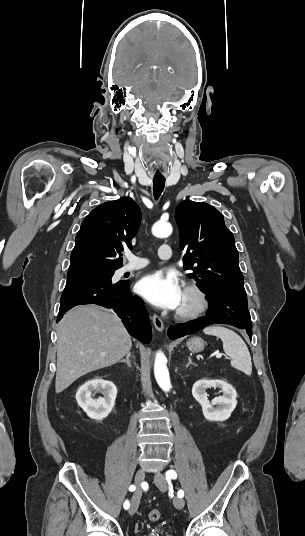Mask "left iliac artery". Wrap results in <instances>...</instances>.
Returning <instances> with one entry per match:
<instances>
[{
    "mask_svg": "<svg viewBox=\"0 0 305 536\" xmlns=\"http://www.w3.org/2000/svg\"><path fill=\"white\" fill-rule=\"evenodd\" d=\"M165 476H166L167 482L170 483L171 479L177 478V473L174 470H168ZM177 495L178 497L182 498L184 496L183 490H179Z\"/></svg>",
    "mask_w": 305,
    "mask_h": 536,
    "instance_id": "left-iliac-artery-1",
    "label": "left iliac artery"
}]
</instances>
